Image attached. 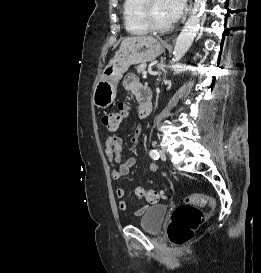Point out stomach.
Segmentation results:
<instances>
[{
	"instance_id": "stomach-1",
	"label": "stomach",
	"mask_w": 261,
	"mask_h": 273,
	"mask_svg": "<svg viewBox=\"0 0 261 273\" xmlns=\"http://www.w3.org/2000/svg\"><path fill=\"white\" fill-rule=\"evenodd\" d=\"M165 50L155 38L137 39L121 45L94 85L93 103L105 109L116 98L117 84L131 65L153 61Z\"/></svg>"
}]
</instances>
